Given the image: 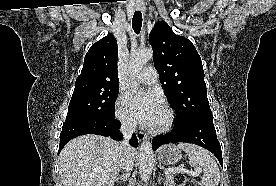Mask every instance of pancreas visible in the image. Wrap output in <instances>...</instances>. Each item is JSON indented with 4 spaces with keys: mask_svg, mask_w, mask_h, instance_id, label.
<instances>
[{
    "mask_svg": "<svg viewBox=\"0 0 276 186\" xmlns=\"http://www.w3.org/2000/svg\"><path fill=\"white\" fill-rule=\"evenodd\" d=\"M167 184H168L169 186H175V185H174V180H173V177H172V176L167 177Z\"/></svg>",
    "mask_w": 276,
    "mask_h": 186,
    "instance_id": "cf45deb5",
    "label": "pancreas"
}]
</instances>
